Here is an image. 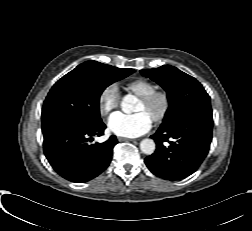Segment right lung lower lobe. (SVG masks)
Wrapping results in <instances>:
<instances>
[{"mask_svg": "<svg viewBox=\"0 0 252 231\" xmlns=\"http://www.w3.org/2000/svg\"><path fill=\"white\" fill-rule=\"evenodd\" d=\"M105 128L103 122L90 127L64 124L45 133L43 149L50 165L72 182L82 183L98 176L109 166L118 143L112 135L103 143L89 144L94 135H103Z\"/></svg>", "mask_w": 252, "mask_h": 231, "instance_id": "obj_1", "label": "right lung lower lobe"}]
</instances>
